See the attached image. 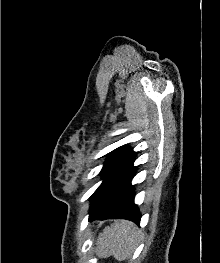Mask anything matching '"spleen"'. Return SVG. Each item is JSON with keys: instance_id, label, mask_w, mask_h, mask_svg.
<instances>
[{"instance_id": "1", "label": "spleen", "mask_w": 220, "mask_h": 263, "mask_svg": "<svg viewBox=\"0 0 220 263\" xmlns=\"http://www.w3.org/2000/svg\"><path fill=\"white\" fill-rule=\"evenodd\" d=\"M139 241V232L129 221H115L106 227L97 239V250L101 256L113 255L117 260L128 259Z\"/></svg>"}]
</instances>
